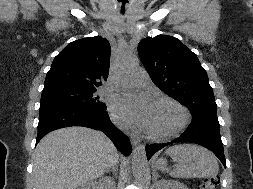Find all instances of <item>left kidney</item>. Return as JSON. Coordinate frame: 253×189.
I'll return each mask as SVG.
<instances>
[{
    "mask_svg": "<svg viewBox=\"0 0 253 189\" xmlns=\"http://www.w3.org/2000/svg\"><path fill=\"white\" fill-rule=\"evenodd\" d=\"M154 189H188L186 185L177 181L160 180L153 186Z\"/></svg>",
    "mask_w": 253,
    "mask_h": 189,
    "instance_id": "obj_1",
    "label": "left kidney"
}]
</instances>
